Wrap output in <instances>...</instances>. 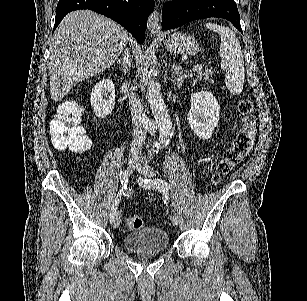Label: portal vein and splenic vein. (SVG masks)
<instances>
[{
	"mask_svg": "<svg viewBox=\"0 0 307 301\" xmlns=\"http://www.w3.org/2000/svg\"><path fill=\"white\" fill-rule=\"evenodd\" d=\"M202 68H203L202 64H196V66H194V68H192L190 72H197V70H202Z\"/></svg>",
	"mask_w": 307,
	"mask_h": 301,
	"instance_id": "18ae733b",
	"label": "portal vein and splenic vein"
}]
</instances>
